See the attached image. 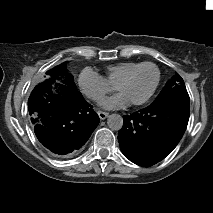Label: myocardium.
<instances>
[{
  "mask_svg": "<svg viewBox=\"0 0 213 213\" xmlns=\"http://www.w3.org/2000/svg\"><path fill=\"white\" fill-rule=\"evenodd\" d=\"M143 67H151L152 69H154L155 71V81H154V84L150 90V92L143 98L139 99V100H136V101H131L129 102L131 105L133 106H140V105H143L145 104L147 101H149L151 99V97L154 95L158 85H159V81H160V76H161V73H160V70H159V67L152 63V62H142L141 64L133 67L131 70H129L124 76H122L118 82L114 85L115 87V90H117V88L124 82H126L135 72H137L138 70H140L141 68Z\"/></svg>",
  "mask_w": 213,
  "mask_h": 213,
  "instance_id": "obj_1",
  "label": "myocardium"
}]
</instances>
